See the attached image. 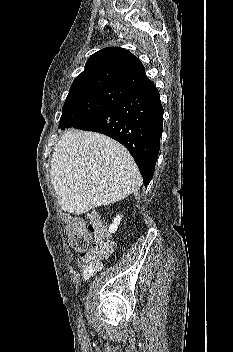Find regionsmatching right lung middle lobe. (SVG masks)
<instances>
[{"label": "right lung middle lobe", "instance_id": "obj_1", "mask_svg": "<svg viewBox=\"0 0 233 352\" xmlns=\"http://www.w3.org/2000/svg\"><path fill=\"white\" fill-rule=\"evenodd\" d=\"M136 92L133 88L116 84L71 90L62 109L59 128L76 127Z\"/></svg>", "mask_w": 233, "mask_h": 352}]
</instances>
